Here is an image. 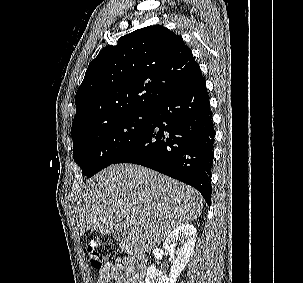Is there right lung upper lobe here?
Instances as JSON below:
<instances>
[{"label": "right lung upper lobe", "mask_w": 303, "mask_h": 283, "mask_svg": "<svg viewBox=\"0 0 303 283\" xmlns=\"http://www.w3.org/2000/svg\"><path fill=\"white\" fill-rule=\"evenodd\" d=\"M202 77L182 37L161 25L144 27L103 48L75 97L77 130L134 111H150Z\"/></svg>", "instance_id": "1"}]
</instances>
